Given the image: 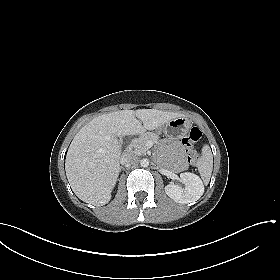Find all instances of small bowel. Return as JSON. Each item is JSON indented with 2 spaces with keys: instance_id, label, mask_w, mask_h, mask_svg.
I'll list each match as a JSON object with an SVG mask.
<instances>
[{
  "instance_id": "obj_1",
  "label": "small bowel",
  "mask_w": 280,
  "mask_h": 280,
  "mask_svg": "<svg viewBox=\"0 0 280 280\" xmlns=\"http://www.w3.org/2000/svg\"><path fill=\"white\" fill-rule=\"evenodd\" d=\"M174 151L176 154H179L182 152L181 148L178 145H175ZM175 169H183L185 167L184 163L178 162L174 165Z\"/></svg>"
}]
</instances>
